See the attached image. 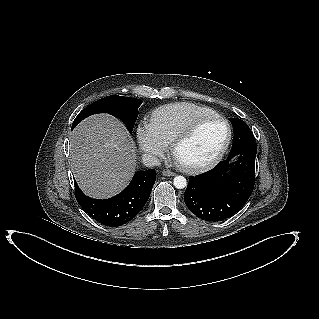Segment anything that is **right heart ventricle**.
I'll list each match as a JSON object with an SVG mask.
<instances>
[{"mask_svg": "<svg viewBox=\"0 0 319 319\" xmlns=\"http://www.w3.org/2000/svg\"><path fill=\"white\" fill-rule=\"evenodd\" d=\"M216 113L212 109L190 102L159 106L150 113L149 123L154 131L170 144L174 137L197 117Z\"/></svg>", "mask_w": 319, "mask_h": 319, "instance_id": "e07e8e85", "label": "right heart ventricle"}]
</instances>
